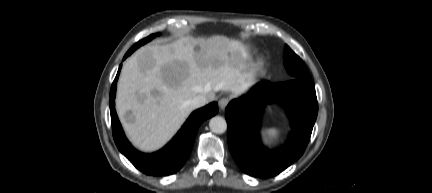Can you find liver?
<instances>
[{
  "instance_id": "6515ba94",
  "label": "liver",
  "mask_w": 432,
  "mask_h": 193,
  "mask_svg": "<svg viewBox=\"0 0 432 193\" xmlns=\"http://www.w3.org/2000/svg\"><path fill=\"white\" fill-rule=\"evenodd\" d=\"M249 53L223 35H187L165 45H146L122 67L116 110L127 137L145 152L161 148L193 111L197 95L209 101L218 91L234 95L254 84ZM208 101V102H209ZM131 111L133 120L125 115Z\"/></svg>"
}]
</instances>
